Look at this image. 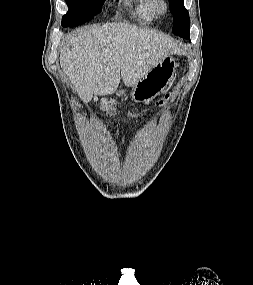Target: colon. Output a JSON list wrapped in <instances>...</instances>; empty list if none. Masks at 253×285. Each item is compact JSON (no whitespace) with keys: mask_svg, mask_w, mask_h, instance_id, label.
Segmentation results:
<instances>
[{"mask_svg":"<svg viewBox=\"0 0 253 285\" xmlns=\"http://www.w3.org/2000/svg\"><path fill=\"white\" fill-rule=\"evenodd\" d=\"M169 97H170V94H168L167 96H166V99L165 100H161L160 102H158V107H161V106H163L164 105V103L169 99ZM106 109H107V111H108V113L110 114V115H113L114 114V111H113V109H112V107L110 106V105H106ZM133 116H136V114H133Z\"/></svg>","mask_w":253,"mask_h":285,"instance_id":"obj_1","label":"colon"}]
</instances>
